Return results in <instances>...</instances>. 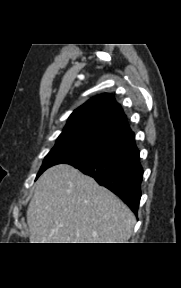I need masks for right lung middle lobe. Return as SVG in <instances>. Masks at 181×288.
I'll use <instances>...</instances> for the list:
<instances>
[{
	"mask_svg": "<svg viewBox=\"0 0 181 288\" xmlns=\"http://www.w3.org/2000/svg\"><path fill=\"white\" fill-rule=\"evenodd\" d=\"M111 155L109 150L83 140H58L46 155L37 177L47 168L56 164H70L74 161L99 159Z\"/></svg>",
	"mask_w": 181,
	"mask_h": 288,
	"instance_id": "obj_1",
	"label": "right lung middle lobe"
}]
</instances>
